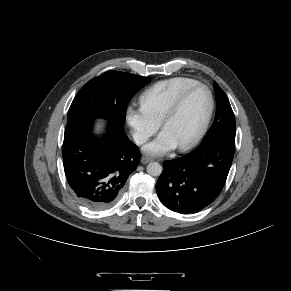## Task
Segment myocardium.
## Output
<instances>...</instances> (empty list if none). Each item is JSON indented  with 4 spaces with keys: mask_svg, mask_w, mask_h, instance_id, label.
Here are the masks:
<instances>
[{
    "mask_svg": "<svg viewBox=\"0 0 291 291\" xmlns=\"http://www.w3.org/2000/svg\"><path fill=\"white\" fill-rule=\"evenodd\" d=\"M199 88L206 90L208 97H209V108H208L207 114H206L199 130L196 132V134L187 142H185L181 145H178V149L180 151H187V150L193 148L202 139V137L206 133L208 126L210 124V121L212 119L214 109H215V100H214V96H213L211 89L203 83H196V84L184 89L177 96V98L173 101V103L170 105V107L164 113V115L160 121L161 128L163 129L165 124L179 111V109L181 108V106L184 103L187 96L191 92H193L194 90L199 89Z\"/></svg>",
    "mask_w": 291,
    "mask_h": 291,
    "instance_id": "f54148a6",
    "label": "myocardium"
}]
</instances>
